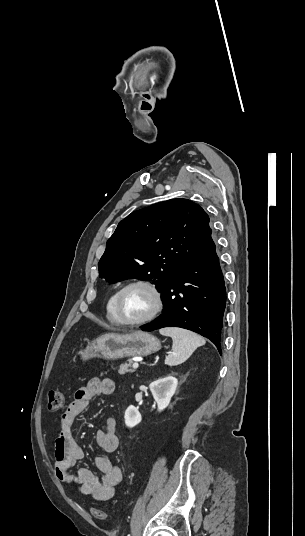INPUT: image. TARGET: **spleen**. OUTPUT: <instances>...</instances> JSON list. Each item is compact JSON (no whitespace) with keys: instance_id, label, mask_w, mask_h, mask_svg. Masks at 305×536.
<instances>
[{"instance_id":"spleen-1","label":"spleen","mask_w":305,"mask_h":536,"mask_svg":"<svg viewBox=\"0 0 305 536\" xmlns=\"http://www.w3.org/2000/svg\"><path fill=\"white\" fill-rule=\"evenodd\" d=\"M159 332L162 336H170L173 340L172 354L165 358L167 366L183 364L199 346L206 344L202 336L189 332V330H182V328H162Z\"/></svg>"}]
</instances>
